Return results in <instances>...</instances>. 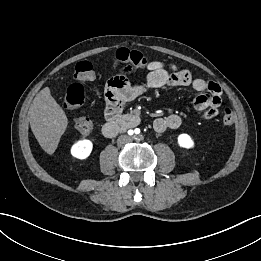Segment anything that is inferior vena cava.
<instances>
[{
    "label": "inferior vena cava",
    "instance_id": "obj_1",
    "mask_svg": "<svg viewBox=\"0 0 261 261\" xmlns=\"http://www.w3.org/2000/svg\"><path fill=\"white\" fill-rule=\"evenodd\" d=\"M131 141H132L131 137H129L127 135H121L118 137L117 144L121 146V145L129 143Z\"/></svg>",
    "mask_w": 261,
    "mask_h": 261
}]
</instances>
